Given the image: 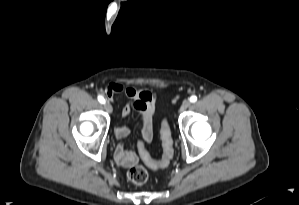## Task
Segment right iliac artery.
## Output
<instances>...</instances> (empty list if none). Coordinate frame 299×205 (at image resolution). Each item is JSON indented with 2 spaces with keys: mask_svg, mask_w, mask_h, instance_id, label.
<instances>
[{
  "mask_svg": "<svg viewBox=\"0 0 299 205\" xmlns=\"http://www.w3.org/2000/svg\"><path fill=\"white\" fill-rule=\"evenodd\" d=\"M98 101L102 104L105 103V99L102 96H98Z\"/></svg>",
  "mask_w": 299,
  "mask_h": 205,
  "instance_id": "82829eb1",
  "label": "right iliac artery"
}]
</instances>
